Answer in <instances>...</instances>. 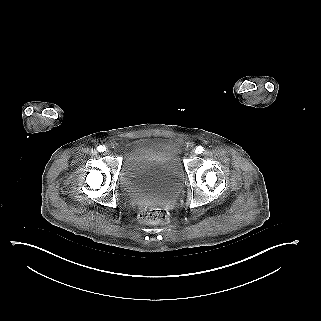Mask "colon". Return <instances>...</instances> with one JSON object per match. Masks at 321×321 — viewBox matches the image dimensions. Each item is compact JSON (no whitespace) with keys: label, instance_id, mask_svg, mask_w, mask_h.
Listing matches in <instances>:
<instances>
[{"label":"colon","instance_id":"obj_1","mask_svg":"<svg viewBox=\"0 0 321 321\" xmlns=\"http://www.w3.org/2000/svg\"><path fill=\"white\" fill-rule=\"evenodd\" d=\"M168 216V211L162 207L145 208L139 214L140 220L146 224L164 223Z\"/></svg>","mask_w":321,"mask_h":321}]
</instances>
